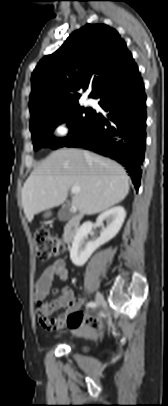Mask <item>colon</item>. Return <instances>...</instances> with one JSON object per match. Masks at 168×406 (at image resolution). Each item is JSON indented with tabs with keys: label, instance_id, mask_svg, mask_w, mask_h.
Segmentation results:
<instances>
[{
	"label": "colon",
	"instance_id": "1",
	"mask_svg": "<svg viewBox=\"0 0 168 406\" xmlns=\"http://www.w3.org/2000/svg\"><path fill=\"white\" fill-rule=\"evenodd\" d=\"M33 241L35 244V252L36 257L40 261H48L54 257L59 256L64 251V246L62 241L55 236L54 234L50 233L47 230H39L33 234ZM39 309L41 311L42 316L47 321H51L52 319L47 318V315L50 314L51 304H40ZM84 323L92 330H97L101 327V323L99 319L95 316H88L83 318L80 314H70L67 318V324L70 326H74L77 324Z\"/></svg>",
	"mask_w": 168,
	"mask_h": 406
}]
</instances>
